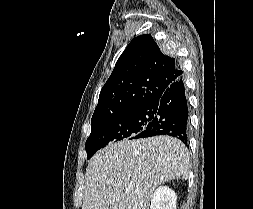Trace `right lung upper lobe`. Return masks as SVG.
Returning a JSON list of instances; mask_svg holds the SVG:
<instances>
[{
	"instance_id": "1",
	"label": "right lung upper lobe",
	"mask_w": 253,
	"mask_h": 209,
	"mask_svg": "<svg viewBox=\"0 0 253 209\" xmlns=\"http://www.w3.org/2000/svg\"><path fill=\"white\" fill-rule=\"evenodd\" d=\"M182 74L175 58L164 55L151 35L135 37L104 84L91 120L151 104Z\"/></svg>"
}]
</instances>
